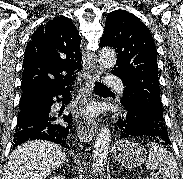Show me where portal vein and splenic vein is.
Listing matches in <instances>:
<instances>
[{"label":"portal vein and splenic vein","instance_id":"portal-vein-and-splenic-vein-1","mask_svg":"<svg viewBox=\"0 0 183 179\" xmlns=\"http://www.w3.org/2000/svg\"><path fill=\"white\" fill-rule=\"evenodd\" d=\"M157 173H155V172H152V173H150V175H152V176H154V175H156Z\"/></svg>","mask_w":183,"mask_h":179}]
</instances>
